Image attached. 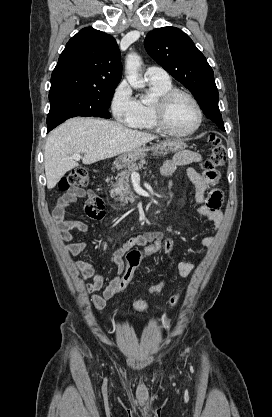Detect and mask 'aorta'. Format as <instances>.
I'll use <instances>...</instances> for the list:
<instances>
[{"mask_svg":"<svg viewBox=\"0 0 272 417\" xmlns=\"http://www.w3.org/2000/svg\"><path fill=\"white\" fill-rule=\"evenodd\" d=\"M141 67V58L136 53H130L126 57L125 73L129 84L135 88L145 87V82L141 80L139 70ZM145 101V98H144Z\"/></svg>","mask_w":272,"mask_h":417,"instance_id":"1","label":"aorta"}]
</instances>
